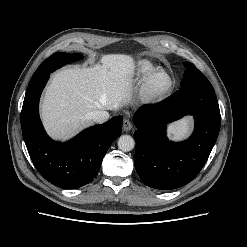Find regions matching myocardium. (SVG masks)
<instances>
[{"mask_svg": "<svg viewBox=\"0 0 247 247\" xmlns=\"http://www.w3.org/2000/svg\"><path fill=\"white\" fill-rule=\"evenodd\" d=\"M156 75H163L169 81V85L167 89L163 91L162 93H158V94L153 93L150 89V83ZM173 89H174V80L172 76L166 70L157 68L149 72L143 78V80L141 81L139 93H140V97L144 101L149 102V103H156V102H160L164 100L165 98H167L172 93Z\"/></svg>", "mask_w": 247, "mask_h": 247, "instance_id": "f54148a6", "label": "myocardium"}]
</instances>
